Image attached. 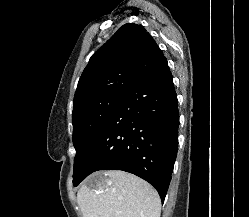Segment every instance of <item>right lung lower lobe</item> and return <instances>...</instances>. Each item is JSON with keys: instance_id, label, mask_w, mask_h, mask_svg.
I'll return each instance as SVG.
<instances>
[{"instance_id": "1", "label": "right lung lower lobe", "mask_w": 249, "mask_h": 217, "mask_svg": "<svg viewBox=\"0 0 249 217\" xmlns=\"http://www.w3.org/2000/svg\"><path fill=\"white\" fill-rule=\"evenodd\" d=\"M178 100L163 57L119 102L79 165L77 186L97 170H123L148 181L163 202L178 149Z\"/></svg>"}]
</instances>
